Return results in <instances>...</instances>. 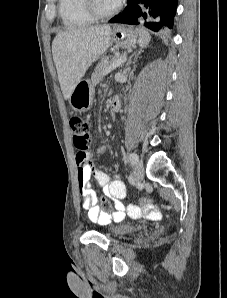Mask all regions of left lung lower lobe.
<instances>
[{
	"mask_svg": "<svg viewBox=\"0 0 227 298\" xmlns=\"http://www.w3.org/2000/svg\"><path fill=\"white\" fill-rule=\"evenodd\" d=\"M176 7L177 0H127L124 11L109 22L143 24L158 32L165 28H172Z\"/></svg>",
	"mask_w": 227,
	"mask_h": 298,
	"instance_id": "0a47b994",
	"label": "left lung lower lobe"
}]
</instances>
